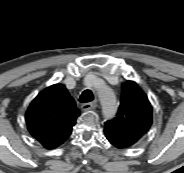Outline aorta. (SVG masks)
Returning <instances> with one entry per match:
<instances>
[{
  "mask_svg": "<svg viewBox=\"0 0 184 173\" xmlns=\"http://www.w3.org/2000/svg\"><path fill=\"white\" fill-rule=\"evenodd\" d=\"M92 85L98 91L103 116L106 119H112L115 116L118 109L117 98L114 92L110 88L105 86L98 87L96 80Z\"/></svg>",
  "mask_w": 184,
  "mask_h": 173,
  "instance_id": "aorta-1",
  "label": "aorta"
}]
</instances>
